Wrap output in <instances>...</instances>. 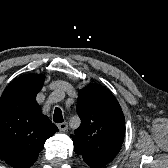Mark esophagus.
<instances>
[{"instance_id": "obj_1", "label": "esophagus", "mask_w": 168, "mask_h": 168, "mask_svg": "<svg viewBox=\"0 0 168 168\" xmlns=\"http://www.w3.org/2000/svg\"><path fill=\"white\" fill-rule=\"evenodd\" d=\"M58 128H59L61 131H65V130H67V128H68V123H67V122L60 123V124H58Z\"/></svg>"}]
</instances>
